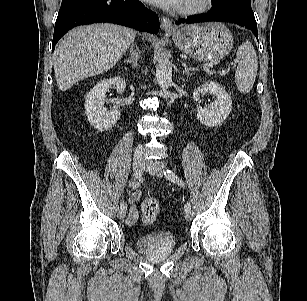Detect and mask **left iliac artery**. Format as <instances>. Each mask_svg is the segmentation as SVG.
<instances>
[{"label": "left iliac artery", "instance_id": "obj_1", "mask_svg": "<svg viewBox=\"0 0 307 301\" xmlns=\"http://www.w3.org/2000/svg\"><path fill=\"white\" fill-rule=\"evenodd\" d=\"M164 175L166 176V178L174 183H177L178 185L184 186V182L183 180L177 175L175 174L173 171L167 169L166 171H164ZM189 208H191L190 203H186L184 205V210H188Z\"/></svg>", "mask_w": 307, "mask_h": 301}]
</instances>
